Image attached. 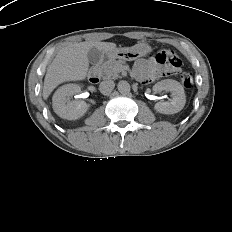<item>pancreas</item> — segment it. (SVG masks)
<instances>
[{"label": "pancreas", "mask_w": 232, "mask_h": 232, "mask_svg": "<svg viewBox=\"0 0 232 232\" xmlns=\"http://www.w3.org/2000/svg\"><path fill=\"white\" fill-rule=\"evenodd\" d=\"M123 64H125V61L122 60H113L102 64L100 69L103 77L106 79H117L122 70Z\"/></svg>", "instance_id": "cf45deb5"}]
</instances>
